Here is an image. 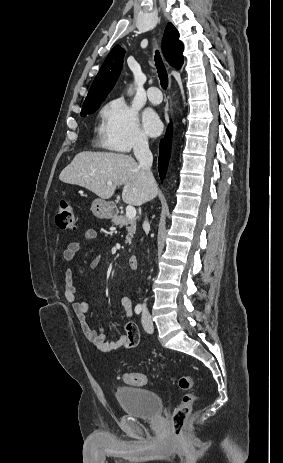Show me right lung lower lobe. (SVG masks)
Returning a JSON list of instances; mask_svg holds the SVG:
<instances>
[{"mask_svg": "<svg viewBox=\"0 0 283 463\" xmlns=\"http://www.w3.org/2000/svg\"><path fill=\"white\" fill-rule=\"evenodd\" d=\"M171 141H172V126L170 125L167 129L165 137L160 142L159 147V158H158V169L161 180L164 178L166 173V167L168 165L170 152H171Z\"/></svg>", "mask_w": 283, "mask_h": 463, "instance_id": "right-lung-lower-lobe-1", "label": "right lung lower lobe"}]
</instances>
